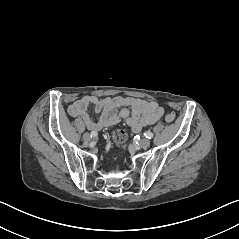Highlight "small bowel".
<instances>
[{"label":"small bowel","mask_w":239,"mask_h":239,"mask_svg":"<svg viewBox=\"0 0 239 239\" xmlns=\"http://www.w3.org/2000/svg\"><path fill=\"white\" fill-rule=\"evenodd\" d=\"M92 104L100 114L97 120L88 113ZM72 117H79L91 131L126 121L133 132H139L143 127L156 123L163 115L164 109L158 103L134 97H105L83 96L68 107Z\"/></svg>","instance_id":"c3829d8e"}]
</instances>
